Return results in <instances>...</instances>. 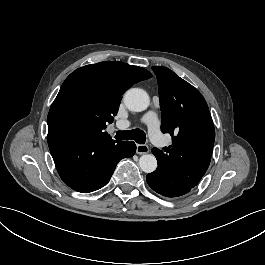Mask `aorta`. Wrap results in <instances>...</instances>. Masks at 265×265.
<instances>
[{"label":"aorta","mask_w":265,"mask_h":265,"mask_svg":"<svg viewBox=\"0 0 265 265\" xmlns=\"http://www.w3.org/2000/svg\"><path fill=\"white\" fill-rule=\"evenodd\" d=\"M123 102L130 111L141 112L148 108L150 98L145 90L131 88L125 92ZM139 166L143 172L152 173L157 168V160L152 154H144L139 159Z\"/></svg>","instance_id":"obj_1"}]
</instances>
